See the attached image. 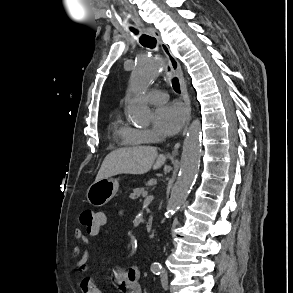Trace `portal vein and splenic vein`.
I'll return each instance as SVG.
<instances>
[{"label":"portal vein and splenic vein","mask_w":293,"mask_h":293,"mask_svg":"<svg viewBox=\"0 0 293 293\" xmlns=\"http://www.w3.org/2000/svg\"><path fill=\"white\" fill-rule=\"evenodd\" d=\"M142 196H143L144 198H146V197L148 196V192H144V193L142 194Z\"/></svg>","instance_id":"18ae733b"}]
</instances>
